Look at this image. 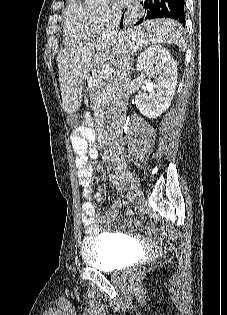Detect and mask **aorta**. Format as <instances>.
<instances>
[{
    "label": "aorta",
    "instance_id": "aorta-1",
    "mask_svg": "<svg viewBox=\"0 0 227 315\" xmlns=\"http://www.w3.org/2000/svg\"><path fill=\"white\" fill-rule=\"evenodd\" d=\"M85 2L91 5H100V4H105L107 0H85Z\"/></svg>",
    "mask_w": 227,
    "mask_h": 315
}]
</instances>
